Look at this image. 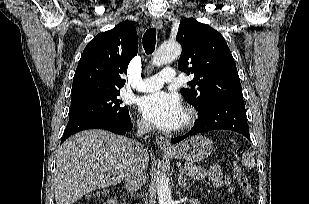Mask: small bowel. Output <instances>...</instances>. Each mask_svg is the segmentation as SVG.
Listing matches in <instances>:
<instances>
[{
    "label": "small bowel",
    "instance_id": "1",
    "mask_svg": "<svg viewBox=\"0 0 309 204\" xmlns=\"http://www.w3.org/2000/svg\"><path fill=\"white\" fill-rule=\"evenodd\" d=\"M210 180L215 187L222 188L225 187L228 191H232L233 188L230 185V180L227 176L223 175L220 167L216 164L210 167Z\"/></svg>",
    "mask_w": 309,
    "mask_h": 204
}]
</instances>
